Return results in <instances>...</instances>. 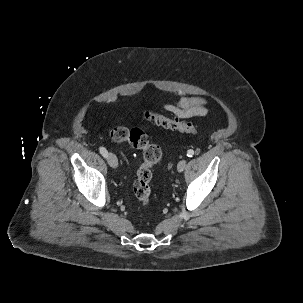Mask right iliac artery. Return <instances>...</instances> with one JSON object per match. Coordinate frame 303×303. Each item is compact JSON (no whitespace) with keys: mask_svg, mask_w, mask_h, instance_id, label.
Listing matches in <instances>:
<instances>
[{"mask_svg":"<svg viewBox=\"0 0 303 303\" xmlns=\"http://www.w3.org/2000/svg\"><path fill=\"white\" fill-rule=\"evenodd\" d=\"M99 151H100V153L102 154L103 157H105V158L107 157L108 152L104 147H100Z\"/></svg>","mask_w":303,"mask_h":303,"instance_id":"1","label":"right iliac artery"}]
</instances>
